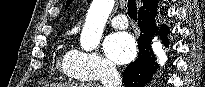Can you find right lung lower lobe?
Here are the masks:
<instances>
[{
    "label": "right lung lower lobe",
    "mask_w": 205,
    "mask_h": 87,
    "mask_svg": "<svg viewBox=\"0 0 205 87\" xmlns=\"http://www.w3.org/2000/svg\"><path fill=\"white\" fill-rule=\"evenodd\" d=\"M156 0L139 10L138 24L140 27V37L138 38L139 55L138 58L128 65L123 74V82L125 87H143L151 80L152 71L158 67L155 63L150 42L152 37L159 29L155 25ZM166 25L161 26L159 35L162 37V43L168 46L169 41L166 39L169 33Z\"/></svg>",
    "instance_id": "obj_1"
}]
</instances>
